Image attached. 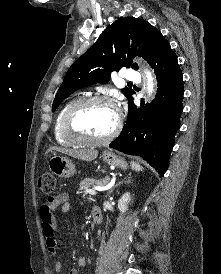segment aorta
I'll use <instances>...</instances> for the list:
<instances>
[{
    "label": "aorta",
    "instance_id": "aorta-1",
    "mask_svg": "<svg viewBox=\"0 0 221 274\" xmlns=\"http://www.w3.org/2000/svg\"><path fill=\"white\" fill-rule=\"evenodd\" d=\"M146 77H147V91H148V95L150 96L154 90L153 78L150 72H146Z\"/></svg>",
    "mask_w": 221,
    "mask_h": 274
}]
</instances>
